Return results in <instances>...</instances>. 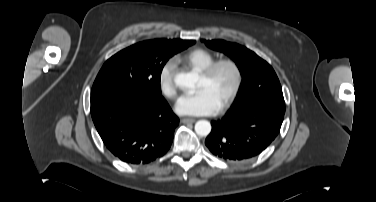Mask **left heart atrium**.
Returning <instances> with one entry per match:
<instances>
[{"mask_svg": "<svg viewBox=\"0 0 376 202\" xmlns=\"http://www.w3.org/2000/svg\"><path fill=\"white\" fill-rule=\"evenodd\" d=\"M220 104L210 89L204 87L191 94L182 96L176 105L181 115L203 116L216 113Z\"/></svg>", "mask_w": 376, "mask_h": 202, "instance_id": "39dd6f15", "label": "left heart atrium"}]
</instances>
